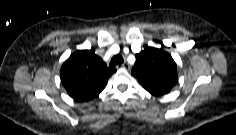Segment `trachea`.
Here are the masks:
<instances>
[{"label": "trachea", "mask_w": 236, "mask_h": 135, "mask_svg": "<svg viewBox=\"0 0 236 135\" xmlns=\"http://www.w3.org/2000/svg\"><path fill=\"white\" fill-rule=\"evenodd\" d=\"M123 62H124L123 57L121 55H116L111 59L110 65L115 66V65L121 64Z\"/></svg>", "instance_id": "obj_1"}]
</instances>
